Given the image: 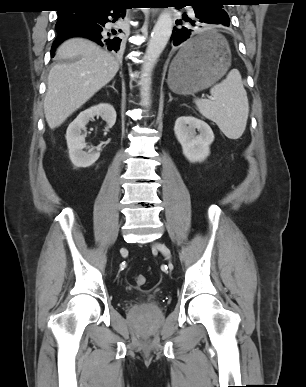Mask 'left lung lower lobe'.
<instances>
[{
	"label": "left lung lower lobe",
	"instance_id": "0a47b994",
	"mask_svg": "<svg viewBox=\"0 0 306 387\" xmlns=\"http://www.w3.org/2000/svg\"><path fill=\"white\" fill-rule=\"evenodd\" d=\"M186 6H191L193 20L187 15H183L181 20H176L178 27L173 29L172 43L174 46L182 44V59L189 61L206 53L211 48L212 42L209 40L192 42L189 38L193 30L184 26L185 22L193 26H197L196 23H207L228 27L230 20L222 18L216 6L210 2L183 1L177 8Z\"/></svg>",
	"mask_w": 306,
	"mask_h": 387
}]
</instances>
